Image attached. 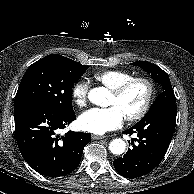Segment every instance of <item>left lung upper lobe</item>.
<instances>
[{"label": "left lung upper lobe", "instance_id": "5c2ea615", "mask_svg": "<svg viewBox=\"0 0 194 194\" xmlns=\"http://www.w3.org/2000/svg\"><path fill=\"white\" fill-rule=\"evenodd\" d=\"M132 64L140 66L142 69L151 74L154 81L161 84L163 88V91L157 96L150 109L161 104L176 102L169 76L165 71H163L159 66L147 61H137Z\"/></svg>", "mask_w": 194, "mask_h": 194}]
</instances>
